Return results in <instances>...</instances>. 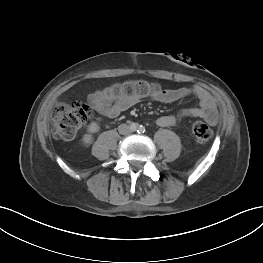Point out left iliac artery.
<instances>
[{
    "label": "left iliac artery",
    "mask_w": 263,
    "mask_h": 263,
    "mask_svg": "<svg viewBox=\"0 0 263 263\" xmlns=\"http://www.w3.org/2000/svg\"><path fill=\"white\" fill-rule=\"evenodd\" d=\"M137 132H138L139 134H142V133H144V132H145V127H144V126H142V125H140V126L138 127V130H137Z\"/></svg>",
    "instance_id": "left-iliac-artery-1"
}]
</instances>
